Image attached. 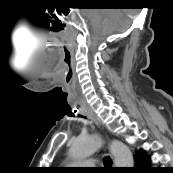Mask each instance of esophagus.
Masks as SVG:
<instances>
[{
  "mask_svg": "<svg viewBox=\"0 0 173 173\" xmlns=\"http://www.w3.org/2000/svg\"><path fill=\"white\" fill-rule=\"evenodd\" d=\"M84 114L87 115L90 119H92L93 121H95L98 124L97 119L94 117V115L88 110V109H84Z\"/></svg>",
  "mask_w": 173,
  "mask_h": 173,
  "instance_id": "34e87169",
  "label": "esophagus"
}]
</instances>
